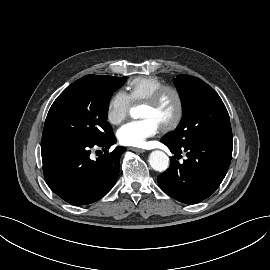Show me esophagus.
<instances>
[{
	"label": "esophagus",
	"mask_w": 270,
	"mask_h": 270,
	"mask_svg": "<svg viewBox=\"0 0 270 270\" xmlns=\"http://www.w3.org/2000/svg\"><path fill=\"white\" fill-rule=\"evenodd\" d=\"M131 150L138 152V153H143L145 152V149H141V148H130Z\"/></svg>",
	"instance_id": "obj_1"
}]
</instances>
